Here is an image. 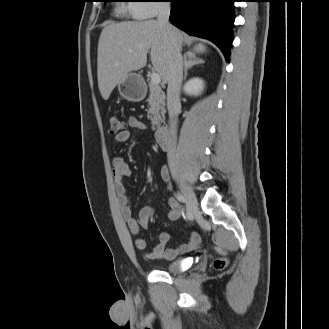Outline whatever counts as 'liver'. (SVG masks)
Instances as JSON below:
<instances>
[{
    "instance_id": "6515ba94",
    "label": "liver",
    "mask_w": 329,
    "mask_h": 329,
    "mask_svg": "<svg viewBox=\"0 0 329 329\" xmlns=\"http://www.w3.org/2000/svg\"><path fill=\"white\" fill-rule=\"evenodd\" d=\"M180 46L188 37L175 28ZM153 69L163 83L168 82L171 47L167 34L156 20L111 23L100 34L97 53L98 87L104 100L132 71H138L147 63V54ZM207 51L199 43L186 54L195 56Z\"/></svg>"
}]
</instances>
